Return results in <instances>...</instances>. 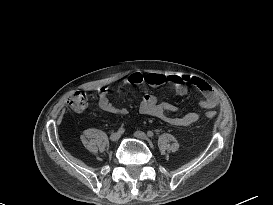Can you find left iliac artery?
Instances as JSON below:
<instances>
[{
    "mask_svg": "<svg viewBox=\"0 0 273 205\" xmlns=\"http://www.w3.org/2000/svg\"><path fill=\"white\" fill-rule=\"evenodd\" d=\"M147 135H148L150 138L154 137V133H153L152 131H148V132H147Z\"/></svg>",
    "mask_w": 273,
    "mask_h": 205,
    "instance_id": "1",
    "label": "left iliac artery"
}]
</instances>
